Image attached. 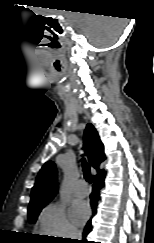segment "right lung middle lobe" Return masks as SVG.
Returning <instances> with one entry per match:
<instances>
[{"label":"right lung middle lobe","mask_w":154,"mask_h":243,"mask_svg":"<svg viewBox=\"0 0 154 243\" xmlns=\"http://www.w3.org/2000/svg\"><path fill=\"white\" fill-rule=\"evenodd\" d=\"M44 206H45V204H42V205H39V206L32 207V208L28 209V219H29L30 223H35L40 211L42 210V208Z\"/></svg>","instance_id":"obj_1"}]
</instances>
